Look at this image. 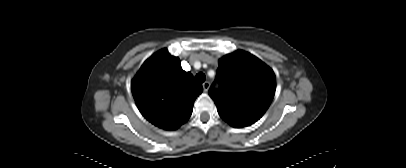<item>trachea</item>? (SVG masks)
<instances>
[{"instance_id":"1","label":"trachea","mask_w":406,"mask_h":168,"mask_svg":"<svg viewBox=\"0 0 406 168\" xmlns=\"http://www.w3.org/2000/svg\"><path fill=\"white\" fill-rule=\"evenodd\" d=\"M205 79H206V76H205V74L202 73V72L196 74V76H195V80H196V82H198V83H203V82L205 81Z\"/></svg>"}]
</instances>
